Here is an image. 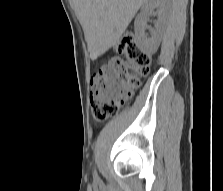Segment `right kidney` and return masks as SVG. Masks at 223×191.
<instances>
[{
    "mask_svg": "<svg viewBox=\"0 0 223 191\" xmlns=\"http://www.w3.org/2000/svg\"><path fill=\"white\" fill-rule=\"evenodd\" d=\"M167 5V0H148L144 3L140 14L135 19L134 29L137 43L141 50L147 54H153L158 49L165 23ZM154 10L158 11V20L155 22V29L150 30L148 35L146 33L148 29L147 22Z\"/></svg>",
    "mask_w": 223,
    "mask_h": 191,
    "instance_id": "ca27d5eb",
    "label": "right kidney"
}]
</instances>
